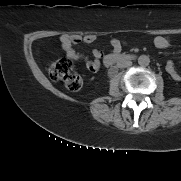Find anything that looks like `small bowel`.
Wrapping results in <instances>:
<instances>
[{
	"label": "small bowel",
	"instance_id": "1",
	"mask_svg": "<svg viewBox=\"0 0 181 181\" xmlns=\"http://www.w3.org/2000/svg\"><path fill=\"white\" fill-rule=\"evenodd\" d=\"M95 39L96 37L94 35L82 36L78 34H62L59 36L61 47L65 51L67 57H69L72 60H83L87 69L91 72H95L99 69L101 53L95 50L94 58L88 59L87 57L83 56L81 53L76 51L75 46L81 43H92L93 41H95ZM170 44L171 40L167 36H157L154 39V45L159 49H166L170 46ZM111 45L112 54L110 55H117L122 48V42L119 39H113L111 41ZM166 71L172 79L176 81H181V74L178 72L172 61H169L167 63Z\"/></svg>",
	"mask_w": 181,
	"mask_h": 181
}]
</instances>
